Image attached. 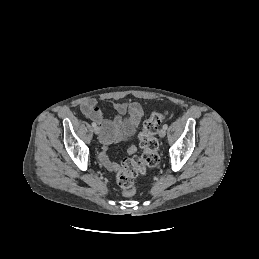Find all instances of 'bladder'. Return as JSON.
<instances>
[{
    "mask_svg": "<svg viewBox=\"0 0 259 259\" xmlns=\"http://www.w3.org/2000/svg\"><path fill=\"white\" fill-rule=\"evenodd\" d=\"M135 129H129V132L134 133Z\"/></svg>",
    "mask_w": 259,
    "mask_h": 259,
    "instance_id": "1",
    "label": "bladder"
}]
</instances>
